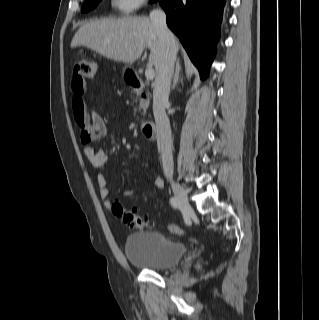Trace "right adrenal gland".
Here are the masks:
<instances>
[{
    "mask_svg": "<svg viewBox=\"0 0 319 320\" xmlns=\"http://www.w3.org/2000/svg\"><path fill=\"white\" fill-rule=\"evenodd\" d=\"M180 70H181L180 59H177L175 73H174L173 82H172V89H175L177 82L180 79Z\"/></svg>",
    "mask_w": 319,
    "mask_h": 320,
    "instance_id": "obj_1",
    "label": "right adrenal gland"
}]
</instances>
